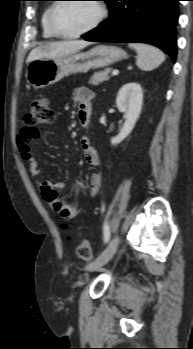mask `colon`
Here are the masks:
<instances>
[{
  "label": "colon",
  "instance_id": "5ec220e1",
  "mask_svg": "<svg viewBox=\"0 0 193 349\" xmlns=\"http://www.w3.org/2000/svg\"><path fill=\"white\" fill-rule=\"evenodd\" d=\"M54 120L55 112L51 108L49 100L45 97L35 99L24 117L25 124L33 129L35 134H37V132L31 126L51 124ZM76 251L78 256L86 262H90L94 258L93 249L87 240H81Z\"/></svg>",
  "mask_w": 193,
  "mask_h": 349
}]
</instances>
